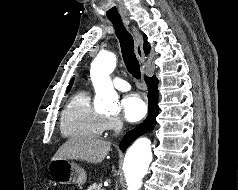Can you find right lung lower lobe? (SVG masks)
<instances>
[{
	"mask_svg": "<svg viewBox=\"0 0 238 190\" xmlns=\"http://www.w3.org/2000/svg\"><path fill=\"white\" fill-rule=\"evenodd\" d=\"M148 86L149 111L148 116L139 126L129 131L122 139L120 148L124 151L138 136L146 131L153 130L156 124V116L158 115V79L153 77H144Z\"/></svg>",
	"mask_w": 238,
	"mask_h": 190,
	"instance_id": "right-lung-lower-lobe-1",
	"label": "right lung lower lobe"
}]
</instances>
